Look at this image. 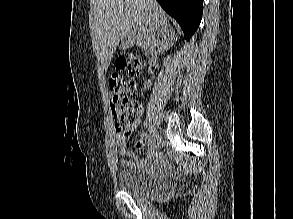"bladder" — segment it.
<instances>
[{
  "label": "bladder",
  "instance_id": "31cf9c89",
  "mask_svg": "<svg viewBox=\"0 0 293 219\" xmlns=\"http://www.w3.org/2000/svg\"><path fill=\"white\" fill-rule=\"evenodd\" d=\"M119 188L135 198L158 193L168 185V179L146 168L134 167L121 170L117 175Z\"/></svg>",
  "mask_w": 293,
  "mask_h": 219
}]
</instances>
